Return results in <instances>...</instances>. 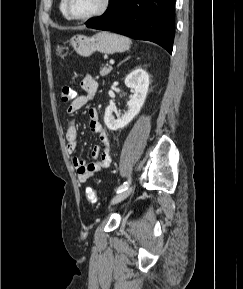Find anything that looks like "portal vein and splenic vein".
I'll list each match as a JSON object with an SVG mask.
<instances>
[{"label": "portal vein and splenic vein", "mask_w": 243, "mask_h": 289, "mask_svg": "<svg viewBox=\"0 0 243 289\" xmlns=\"http://www.w3.org/2000/svg\"><path fill=\"white\" fill-rule=\"evenodd\" d=\"M110 64H114V60L113 59L110 60Z\"/></svg>", "instance_id": "obj_1"}]
</instances>
